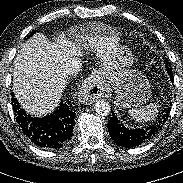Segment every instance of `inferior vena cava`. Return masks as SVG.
<instances>
[{
    "label": "inferior vena cava",
    "instance_id": "inferior-vena-cava-1",
    "mask_svg": "<svg viewBox=\"0 0 183 183\" xmlns=\"http://www.w3.org/2000/svg\"><path fill=\"white\" fill-rule=\"evenodd\" d=\"M81 61L77 58H72L64 65L63 72L67 76L77 75L81 70Z\"/></svg>",
    "mask_w": 183,
    "mask_h": 183
}]
</instances>
